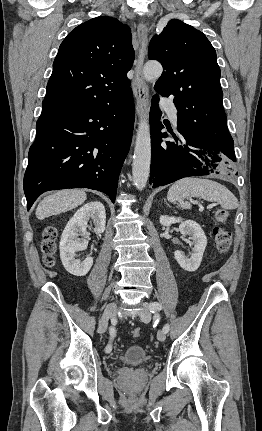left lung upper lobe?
<instances>
[{
	"mask_svg": "<svg viewBox=\"0 0 262 431\" xmlns=\"http://www.w3.org/2000/svg\"><path fill=\"white\" fill-rule=\"evenodd\" d=\"M148 57L163 65L154 89L174 97L178 131L208 141L229 135L216 51L201 31L178 19L170 20L152 38Z\"/></svg>",
	"mask_w": 262,
	"mask_h": 431,
	"instance_id": "left-lung-upper-lobe-1",
	"label": "left lung upper lobe"
}]
</instances>
